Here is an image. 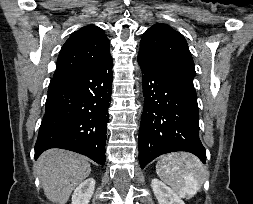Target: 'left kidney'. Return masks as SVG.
Returning a JSON list of instances; mask_svg holds the SVG:
<instances>
[{
	"mask_svg": "<svg viewBox=\"0 0 253 204\" xmlns=\"http://www.w3.org/2000/svg\"><path fill=\"white\" fill-rule=\"evenodd\" d=\"M151 187L159 204H185L181 197L158 179H152Z\"/></svg>",
	"mask_w": 253,
	"mask_h": 204,
	"instance_id": "obj_1",
	"label": "left kidney"
}]
</instances>
